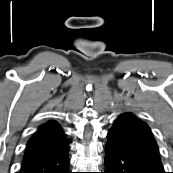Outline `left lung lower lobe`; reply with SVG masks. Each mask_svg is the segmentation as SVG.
Segmentation results:
<instances>
[{
	"label": "left lung lower lobe",
	"mask_w": 173,
	"mask_h": 173,
	"mask_svg": "<svg viewBox=\"0 0 173 173\" xmlns=\"http://www.w3.org/2000/svg\"><path fill=\"white\" fill-rule=\"evenodd\" d=\"M104 173H164L160 159L107 143Z\"/></svg>",
	"instance_id": "1"
}]
</instances>
